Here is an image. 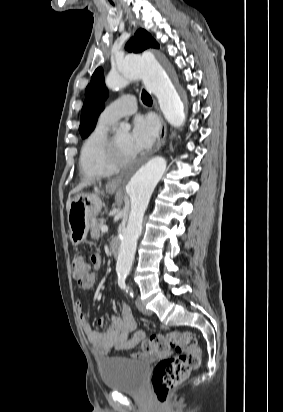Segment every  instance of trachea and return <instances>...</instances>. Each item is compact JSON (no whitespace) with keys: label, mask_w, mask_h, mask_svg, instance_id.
<instances>
[{"label":"trachea","mask_w":283,"mask_h":412,"mask_svg":"<svg viewBox=\"0 0 283 412\" xmlns=\"http://www.w3.org/2000/svg\"><path fill=\"white\" fill-rule=\"evenodd\" d=\"M141 99L144 104L150 105L152 104V98L151 96L143 89L142 94H141Z\"/></svg>","instance_id":"trachea-1"}]
</instances>
